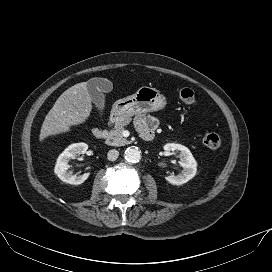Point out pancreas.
<instances>
[{"label": "pancreas", "mask_w": 272, "mask_h": 272, "mask_svg": "<svg viewBox=\"0 0 272 272\" xmlns=\"http://www.w3.org/2000/svg\"><path fill=\"white\" fill-rule=\"evenodd\" d=\"M130 121L131 118L118 122L115 127L108 132L106 144L111 146H124L128 144L129 141L123 137L122 132L125 130Z\"/></svg>", "instance_id": "1"}]
</instances>
